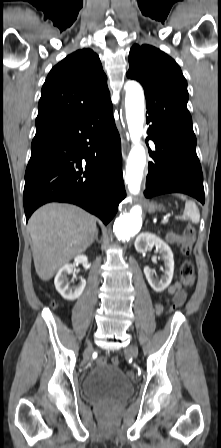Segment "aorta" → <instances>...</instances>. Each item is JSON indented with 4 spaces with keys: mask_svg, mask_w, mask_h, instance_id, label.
Here are the masks:
<instances>
[{
    "mask_svg": "<svg viewBox=\"0 0 221 448\" xmlns=\"http://www.w3.org/2000/svg\"><path fill=\"white\" fill-rule=\"evenodd\" d=\"M126 119L133 147L128 155L125 183L132 195L140 193L143 171L146 164V153L140 139L143 135L144 123V93L141 86L134 82L125 85ZM142 208L134 205L123 215H120L114 223V232L118 239L128 240L136 234L142 226Z\"/></svg>",
    "mask_w": 221,
    "mask_h": 448,
    "instance_id": "obj_1",
    "label": "aorta"
}]
</instances>
